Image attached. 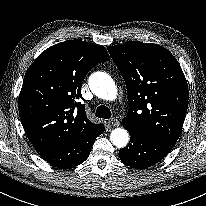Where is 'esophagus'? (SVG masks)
Returning a JSON list of instances; mask_svg holds the SVG:
<instances>
[{
    "label": "esophagus",
    "instance_id": "1",
    "mask_svg": "<svg viewBox=\"0 0 206 206\" xmlns=\"http://www.w3.org/2000/svg\"><path fill=\"white\" fill-rule=\"evenodd\" d=\"M113 126H119V121L116 118H113L109 121Z\"/></svg>",
    "mask_w": 206,
    "mask_h": 206
}]
</instances>
